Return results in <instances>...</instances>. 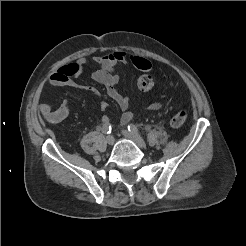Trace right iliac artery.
<instances>
[{
	"mask_svg": "<svg viewBox=\"0 0 246 246\" xmlns=\"http://www.w3.org/2000/svg\"><path fill=\"white\" fill-rule=\"evenodd\" d=\"M102 130H103L104 133L110 134L111 130H112L110 123H108V122L104 123L103 127H102Z\"/></svg>",
	"mask_w": 246,
	"mask_h": 246,
	"instance_id": "82829eb1",
	"label": "right iliac artery"
}]
</instances>
